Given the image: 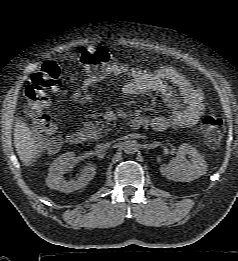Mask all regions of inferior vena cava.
<instances>
[{"instance_id":"602c4592","label":"inferior vena cava","mask_w":238,"mask_h":261,"mask_svg":"<svg viewBox=\"0 0 238 261\" xmlns=\"http://www.w3.org/2000/svg\"><path fill=\"white\" fill-rule=\"evenodd\" d=\"M109 147H110V143H100V144L96 145L95 149L97 152H104Z\"/></svg>"}]
</instances>
